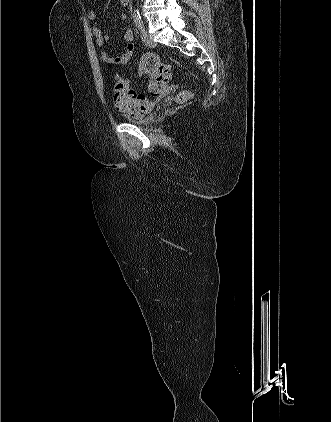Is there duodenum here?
I'll list each match as a JSON object with an SVG mask.
<instances>
[{
	"instance_id": "410a0bca",
	"label": "duodenum",
	"mask_w": 331,
	"mask_h": 422,
	"mask_svg": "<svg viewBox=\"0 0 331 422\" xmlns=\"http://www.w3.org/2000/svg\"><path fill=\"white\" fill-rule=\"evenodd\" d=\"M124 5H127L129 3V0H121Z\"/></svg>"
}]
</instances>
